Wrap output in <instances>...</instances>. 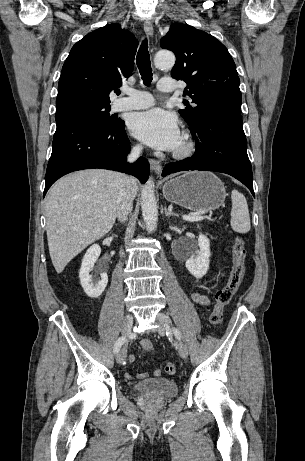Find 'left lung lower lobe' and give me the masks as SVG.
Instances as JSON below:
<instances>
[{"label": "left lung lower lobe", "mask_w": 305, "mask_h": 461, "mask_svg": "<svg viewBox=\"0 0 305 461\" xmlns=\"http://www.w3.org/2000/svg\"><path fill=\"white\" fill-rule=\"evenodd\" d=\"M190 129L196 142L194 155L167 164L162 176L184 170L222 172L241 181L254 196L252 168L240 109L210 111Z\"/></svg>", "instance_id": "left-lung-lower-lobe-1"}]
</instances>
